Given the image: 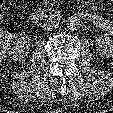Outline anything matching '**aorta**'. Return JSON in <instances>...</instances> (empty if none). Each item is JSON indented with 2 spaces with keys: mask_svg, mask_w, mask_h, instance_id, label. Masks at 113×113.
<instances>
[{
  "mask_svg": "<svg viewBox=\"0 0 113 113\" xmlns=\"http://www.w3.org/2000/svg\"><path fill=\"white\" fill-rule=\"evenodd\" d=\"M81 26V21L78 17L76 16H70L66 20V27L71 30H78Z\"/></svg>",
  "mask_w": 113,
  "mask_h": 113,
  "instance_id": "obj_1",
  "label": "aorta"
}]
</instances>
